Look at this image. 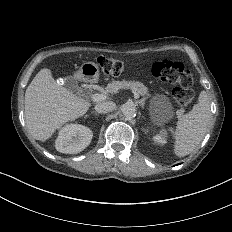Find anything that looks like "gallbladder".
<instances>
[{
  "instance_id": "bac80fb5",
  "label": "gallbladder",
  "mask_w": 232,
  "mask_h": 232,
  "mask_svg": "<svg viewBox=\"0 0 232 232\" xmlns=\"http://www.w3.org/2000/svg\"><path fill=\"white\" fill-rule=\"evenodd\" d=\"M63 86L70 92L76 93L79 91L78 81L72 76L63 77Z\"/></svg>"
}]
</instances>
